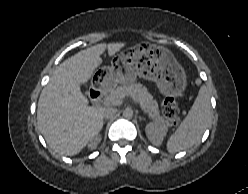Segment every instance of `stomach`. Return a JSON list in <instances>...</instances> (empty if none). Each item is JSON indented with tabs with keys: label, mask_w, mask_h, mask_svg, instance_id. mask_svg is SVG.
Instances as JSON below:
<instances>
[{
	"label": "stomach",
	"mask_w": 248,
	"mask_h": 194,
	"mask_svg": "<svg viewBox=\"0 0 248 194\" xmlns=\"http://www.w3.org/2000/svg\"><path fill=\"white\" fill-rule=\"evenodd\" d=\"M139 76L156 83L159 91L175 95L186 86V74L174 55L161 46L146 42L114 56L106 68L103 85L130 84Z\"/></svg>",
	"instance_id": "1"
}]
</instances>
